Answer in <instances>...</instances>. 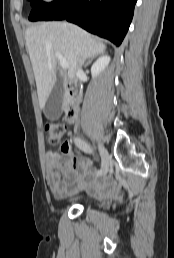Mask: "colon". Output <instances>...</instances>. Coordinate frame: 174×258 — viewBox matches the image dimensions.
Segmentation results:
<instances>
[{
	"instance_id": "obj_1",
	"label": "colon",
	"mask_w": 174,
	"mask_h": 258,
	"mask_svg": "<svg viewBox=\"0 0 174 258\" xmlns=\"http://www.w3.org/2000/svg\"><path fill=\"white\" fill-rule=\"evenodd\" d=\"M45 131L47 134L48 143L51 146H57L61 143L63 137L67 133V126L62 122H48L45 125ZM67 148V144L64 143L61 145L60 150H53L51 155L56 159H61L66 153ZM63 166L68 168L69 163L64 162Z\"/></svg>"
}]
</instances>
